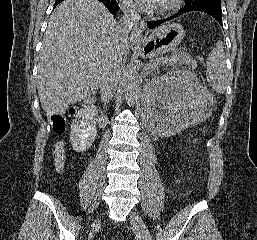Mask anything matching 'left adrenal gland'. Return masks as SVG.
<instances>
[{"label": "left adrenal gland", "mask_w": 257, "mask_h": 240, "mask_svg": "<svg viewBox=\"0 0 257 240\" xmlns=\"http://www.w3.org/2000/svg\"><path fill=\"white\" fill-rule=\"evenodd\" d=\"M147 75H148V72H146V73L144 72V75H143L144 80H146Z\"/></svg>", "instance_id": "left-adrenal-gland-1"}]
</instances>
